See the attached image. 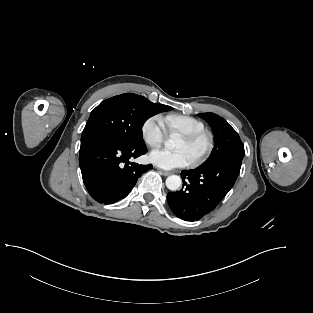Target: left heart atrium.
Returning a JSON list of instances; mask_svg holds the SVG:
<instances>
[{
  "label": "left heart atrium",
  "instance_id": "1",
  "mask_svg": "<svg viewBox=\"0 0 313 313\" xmlns=\"http://www.w3.org/2000/svg\"><path fill=\"white\" fill-rule=\"evenodd\" d=\"M149 159L153 164L163 169L185 167L191 163L189 155L184 150L155 149L151 151Z\"/></svg>",
  "mask_w": 313,
  "mask_h": 313
}]
</instances>
